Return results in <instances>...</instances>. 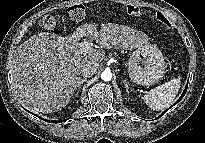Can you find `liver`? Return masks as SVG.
Here are the masks:
<instances>
[{"mask_svg":"<svg viewBox=\"0 0 205 143\" xmlns=\"http://www.w3.org/2000/svg\"><path fill=\"white\" fill-rule=\"evenodd\" d=\"M95 40L99 49H83L81 38ZM149 44V37L133 28L114 23L79 26L71 36L43 32L33 35L12 58L13 87L22 105L37 112L52 113L64 108L81 80L88 62L105 59L103 49L132 50Z\"/></svg>","mask_w":205,"mask_h":143,"instance_id":"obj_1","label":"liver"}]
</instances>
